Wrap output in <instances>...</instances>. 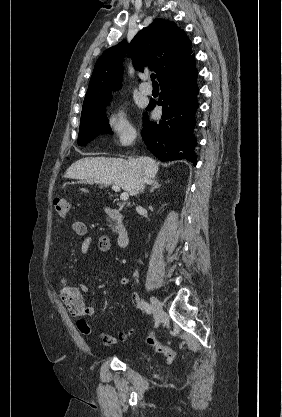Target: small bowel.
<instances>
[{
	"label": "small bowel",
	"instance_id": "1",
	"mask_svg": "<svg viewBox=\"0 0 282 417\" xmlns=\"http://www.w3.org/2000/svg\"><path fill=\"white\" fill-rule=\"evenodd\" d=\"M71 229L74 234L85 237L78 249L79 252L84 256L88 255L90 249L93 246H95L100 253H107L110 250V239L106 235H100L97 237L88 235V227L83 221H73L71 224ZM120 283L123 287H129L130 280L125 277L121 279ZM86 293L87 286L85 284H81L77 288L69 285L66 279H62L61 288L59 291L60 299L67 307L71 315L78 318L76 325L79 332L83 335L89 336L93 331L89 323L84 318L94 316L96 310L93 306L86 304ZM131 299L133 302H137V294L132 293ZM129 335V330H123L119 332L117 337H113L107 333H102L101 339L105 344L114 345L119 341L126 340Z\"/></svg>",
	"mask_w": 282,
	"mask_h": 417
}]
</instances>
